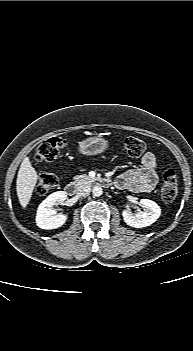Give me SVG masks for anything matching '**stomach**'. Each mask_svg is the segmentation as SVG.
<instances>
[{"instance_id": "obj_1", "label": "stomach", "mask_w": 193, "mask_h": 351, "mask_svg": "<svg viewBox=\"0 0 193 351\" xmlns=\"http://www.w3.org/2000/svg\"><path fill=\"white\" fill-rule=\"evenodd\" d=\"M109 147L107 140L101 137H89L78 145V152L81 155L93 156L98 155L106 151Z\"/></svg>"}]
</instances>
